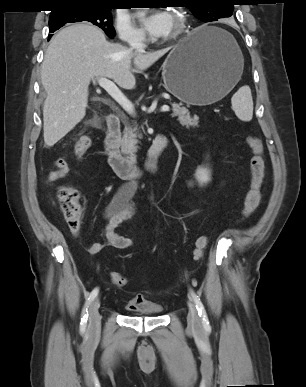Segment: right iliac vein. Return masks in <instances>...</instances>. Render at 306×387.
Segmentation results:
<instances>
[{
  "label": "right iliac vein",
  "instance_id": "1",
  "mask_svg": "<svg viewBox=\"0 0 306 387\" xmlns=\"http://www.w3.org/2000/svg\"><path fill=\"white\" fill-rule=\"evenodd\" d=\"M100 299L96 298L90 305L89 308V325L88 332L92 336H97L100 332L101 327V316L99 314Z\"/></svg>",
  "mask_w": 306,
  "mask_h": 387
}]
</instances>
